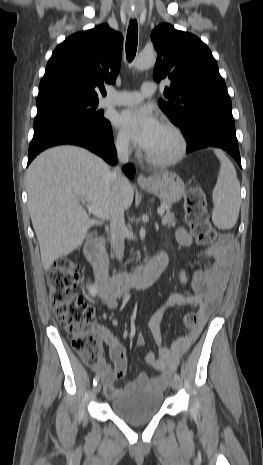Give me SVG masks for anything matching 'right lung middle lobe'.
<instances>
[{"label":"right lung middle lobe","instance_id":"dd1d6c3e","mask_svg":"<svg viewBox=\"0 0 263 465\" xmlns=\"http://www.w3.org/2000/svg\"><path fill=\"white\" fill-rule=\"evenodd\" d=\"M97 105L98 99L77 96H57L37 101L34 128L54 121H73L99 129L110 126L103 112L96 110Z\"/></svg>","mask_w":263,"mask_h":465}]
</instances>
